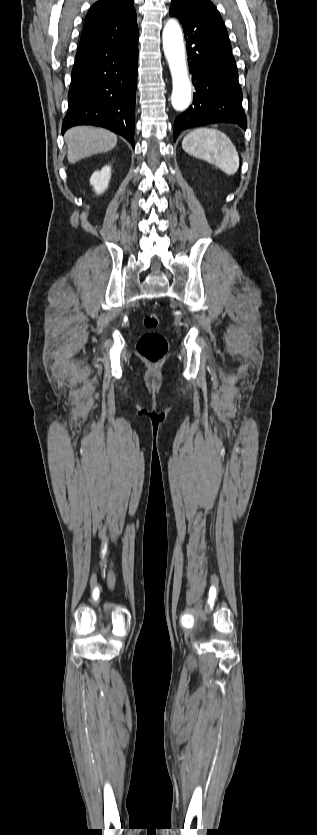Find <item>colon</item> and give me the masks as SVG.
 <instances>
[{
	"label": "colon",
	"instance_id": "obj_1",
	"mask_svg": "<svg viewBox=\"0 0 317 835\" xmlns=\"http://www.w3.org/2000/svg\"><path fill=\"white\" fill-rule=\"evenodd\" d=\"M159 324V318L156 314H148L144 318V325L147 328H155ZM168 351V344L166 338L158 333H146L142 335L137 343L138 354L150 363L160 362Z\"/></svg>",
	"mask_w": 317,
	"mask_h": 835
}]
</instances>
